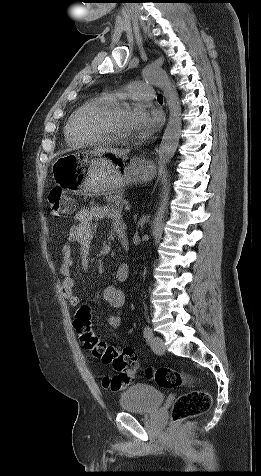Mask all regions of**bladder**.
Listing matches in <instances>:
<instances>
[{"label": "bladder", "mask_w": 261, "mask_h": 476, "mask_svg": "<svg viewBox=\"0 0 261 476\" xmlns=\"http://www.w3.org/2000/svg\"><path fill=\"white\" fill-rule=\"evenodd\" d=\"M164 393L148 384L129 386L119 397L121 410L129 413L151 414L163 403Z\"/></svg>", "instance_id": "1"}]
</instances>
